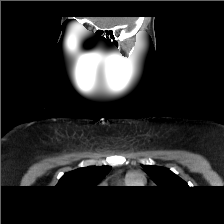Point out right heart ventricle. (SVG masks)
I'll use <instances>...</instances> for the list:
<instances>
[{
    "instance_id": "right-heart-ventricle-1",
    "label": "right heart ventricle",
    "mask_w": 224,
    "mask_h": 224,
    "mask_svg": "<svg viewBox=\"0 0 224 224\" xmlns=\"http://www.w3.org/2000/svg\"><path fill=\"white\" fill-rule=\"evenodd\" d=\"M125 183L129 186H135L139 184V181L136 180V178L134 177V179H131L130 177H128L125 181Z\"/></svg>"
}]
</instances>
